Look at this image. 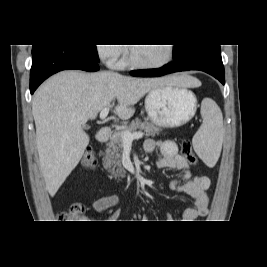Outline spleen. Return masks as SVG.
I'll return each instance as SVG.
<instances>
[{
    "label": "spleen",
    "mask_w": 267,
    "mask_h": 267,
    "mask_svg": "<svg viewBox=\"0 0 267 267\" xmlns=\"http://www.w3.org/2000/svg\"><path fill=\"white\" fill-rule=\"evenodd\" d=\"M203 123L192 139L197 155L213 167L221 153L223 142V116L218 106L202 107Z\"/></svg>",
    "instance_id": "spleen-1"
}]
</instances>
